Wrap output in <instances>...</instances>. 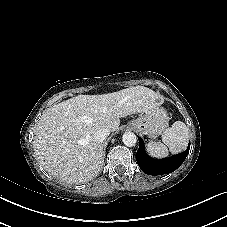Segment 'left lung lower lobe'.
Returning <instances> with one entry per match:
<instances>
[{"instance_id": "obj_1", "label": "left lung lower lobe", "mask_w": 227, "mask_h": 227, "mask_svg": "<svg viewBox=\"0 0 227 227\" xmlns=\"http://www.w3.org/2000/svg\"><path fill=\"white\" fill-rule=\"evenodd\" d=\"M138 140L139 149L136 156L137 163L142 171L149 175H162L175 171L184 162L190 149L189 144L187 150L178 155L171 156L164 160H153L147 156L142 138L138 137Z\"/></svg>"}]
</instances>
